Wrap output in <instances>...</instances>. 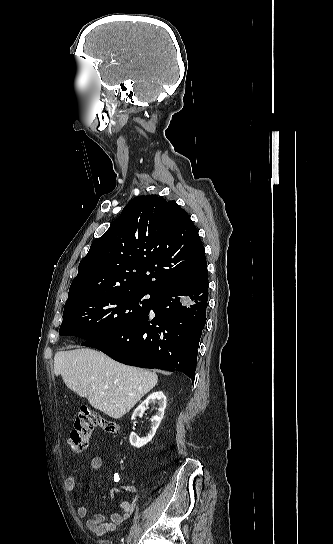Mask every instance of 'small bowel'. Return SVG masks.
Instances as JSON below:
<instances>
[{"label": "small bowel", "mask_w": 333, "mask_h": 544, "mask_svg": "<svg viewBox=\"0 0 333 544\" xmlns=\"http://www.w3.org/2000/svg\"><path fill=\"white\" fill-rule=\"evenodd\" d=\"M103 466V460L99 456H95L90 460V468L92 471L97 472ZM115 486L112 488V493L124 492L131 497V500L121 502V512H113L110 514L109 519L105 515L96 513L87 518L86 525L90 531L97 536H103L106 533L115 531L117 527L128 519L136 508L138 502V495L136 487L132 484L121 485L119 475L113 476ZM65 489L72 493H77V480L76 476L69 474L64 480ZM77 515L80 518H86L88 516V508L85 505H80L77 508Z\"/></svg>", "instance_id": "obj_1"}]
</instances>
